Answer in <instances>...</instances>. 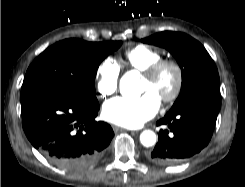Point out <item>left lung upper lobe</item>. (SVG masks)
Listing matches in <instances>:
<instances>
[{
    "instance_id": "5c2ea615",
    "label": "left lung upper lobe",
    "mask_w": 245,
    "mask_h": 187,
    "mask_svg": "<svg viewBox=\"0 0 245 187\" xmlns=\"http://www.w3.org/2000/svg\"><path fill=\"white\" fill-rule=\"evenodd\" d=\"M142 42L169 50L181 68V92L169 112L201 96L219 94L215 63L197 40L184 33L164 31L142 39Z\"/></svg>"
}]
</instances>
